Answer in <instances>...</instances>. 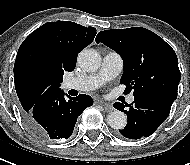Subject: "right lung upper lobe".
Segmentation results:
<instances>
[{
	"label": "right lung upper lobe",
	"mask_w": 190,
	"mask_h": 165,
	"mask_svg": "<svg viewBox=\"0 0 190 165\" xmlns=\"http://www.w3.org/2000/svg\"><path fill=\"white\" fill-rule=\"evenodd\" d=\"M96 35L94 27L74 22H47L21 44L14 64L15 88L22 110L44 93L58 89L65 71H73L78 53Z\"/></svg>",
	"instance_id": "right-lung-upper-lobe-1"
}]
</instances>
